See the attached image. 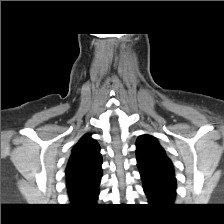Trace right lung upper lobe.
I'll return each instance as SVG.
<instances>
[{
	"label": "right lung upper lobe",
	"instance_id": "cb5924a9",
	"mask_svg": "<svg viewBox=\"0 0 224 224\" xmlns=\"http://www.w3.org/2000/svg\"><path fill=\"white\" fill-rule=\"evenodd\" d=\"M100 146L91 134H85L72 150L66 173V185L72 201L89 200L99 192L102 175ZM86 198V199H85Z\"/></svg>",
	"mask_w": 224,
	"mask_h": 224
}]
</instances>
